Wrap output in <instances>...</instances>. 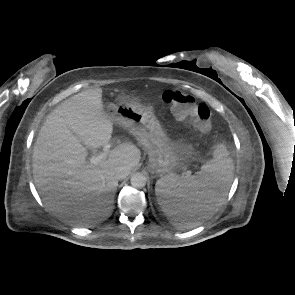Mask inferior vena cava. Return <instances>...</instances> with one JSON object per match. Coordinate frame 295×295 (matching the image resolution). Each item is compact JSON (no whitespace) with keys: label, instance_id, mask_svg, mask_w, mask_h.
Wrapping results in <instances>:
<instances>
[{"label":"inferior vena cava","instance_id":"602c4592","mask_svg":"<svg viewBox=\"0 0 295 295\" xmlns=\"http://www.w3.org/2000/svg\"><path fill=\"white\" fill-rule=\"evenodd\" d=\"M129 174L126 167H119L116 169L115 176L118 180L124 179Z\"/></svg>","mask_w":295,"mask_h":295}]
</instances>
